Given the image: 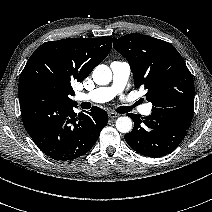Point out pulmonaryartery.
<instances>
[{
    "label": "pulmonary artery",
    "instance_id": "1",
    "mask_svg": "<svg viewBox=\"0 0 212 212\" xmlns=\"http://www.w3.org/2000/svg\"><path fill=\"white\" fill-rule=\"evenodd\" d=\"M113 80L110 86L99 87L89 92H80L76 94L77 101H89L94 103H103L110 101L117 95H121L131 74L130 65L124 61H113L110 65ZM126 106L136 107V104ZM139 112L143 115H150L152 105L150 103L139 107Z\"/></svg>",
    "mask_w": 212,
    "mask_h": 212
}]
</instances>
